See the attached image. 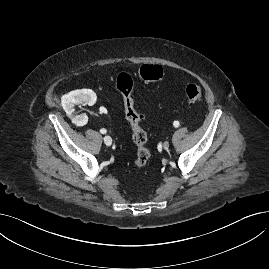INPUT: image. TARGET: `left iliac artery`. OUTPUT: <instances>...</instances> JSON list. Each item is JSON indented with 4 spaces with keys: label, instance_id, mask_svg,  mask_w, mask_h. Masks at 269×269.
<instances>
[{
    "label": "left iliac artery",
    "instance_id": "left-iliac-artery-1",
    "mask_svg": "<svg viewBox=\"0 0 269 269\" xmlns=\"http://www.w3.org/2000/svg\"><path fill=\"white\" fill-rule=\"evenodd\" d=\"M173 125H174V127H179L180 124L178 121H174Z\"/></svg>",
    "mask_w": 269,
    "mask_h": 269
}]
</instances>
